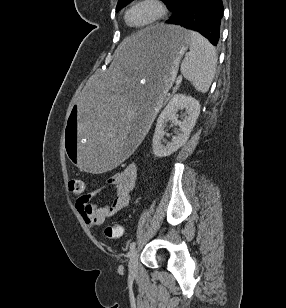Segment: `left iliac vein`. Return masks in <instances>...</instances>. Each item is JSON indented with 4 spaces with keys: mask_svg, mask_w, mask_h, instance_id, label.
Here are the masks:
<instances>
[{
    "mask_svg": "<svg viewBox=\"0 0 286 308\" xmlns=\"http://www.w3.org/2000/svg\"><path fill=\"white\" fill-rule=\"evenodd\" d=\"M129 273L134 276L138 271V250L133 249L129 255V263H128Z\"/></svg>",
    "mask_w": 286,
    "mask_h": 308,
    "instance_id": "obj_1",
    "label": "left iliac vein"
}]
</instances>
